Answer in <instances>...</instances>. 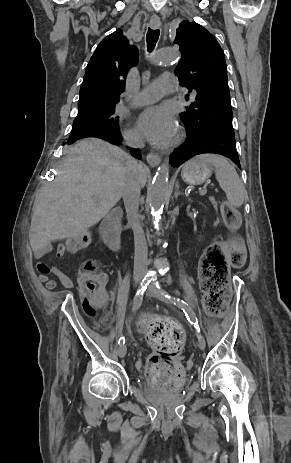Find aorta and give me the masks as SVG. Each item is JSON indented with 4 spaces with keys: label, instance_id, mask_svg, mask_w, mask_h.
I'll list each match as a JSON object with an SVG mask.
<instances>
[{
    "label": "aorta",
    "instance_id": "762f6f07",
    "mask_svg": "<svg viewBox=\"0 0 291 463\" xmlns=\"http://www.w3.org/2000/svg\"><path fill=\"white\" fill-rule=\"evenodd\" d=\"M180 53L175 48H162L159 49L152 59V64L156 66L168 65L177 60ZM169 190V166L168 163H163L151 184L148 192V200L153 217L158 221V217L162 213L164 204L166 202ZM158 225V222H156Z\"/></svg>",
    "mask_w": 291,
    "mask_h": 463
}]
</instances>
